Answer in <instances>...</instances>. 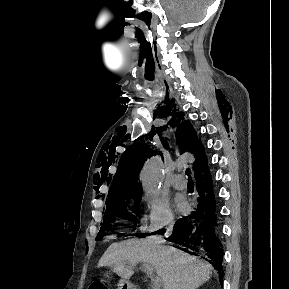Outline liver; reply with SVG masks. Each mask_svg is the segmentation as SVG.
I'll return each instance as SVG.
<instances>
[{"label": "liver", "instance_id": "obj_1", "mask_svg": "<svg viewBox=\"0 0 289 289\" xmlns=\"http://www.w3.org/2000/svg\"><path fill=\"white\" fill-rule=\"evenodd\" d=\"M143 262L155 269L161 285L168 289H196L210 279L212 266L172 246L151 238L129 239L111 244L98 266H110L123 279L134 274V266Z\"/></svg>", "mask_w": 289, "mask_h": 289}]
</instances>
